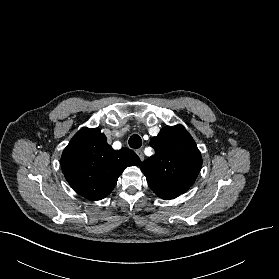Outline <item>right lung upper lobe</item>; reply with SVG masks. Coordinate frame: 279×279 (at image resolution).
Masks as SVG:
<instances>
[{
    "label": "right lung upper lobe",
    "instance_id": "obj_1",
    "mask_svg": "<svg viewBox=\"0 0 279 279\" xmlns=\"http://www.w3.org/2000/svg\"><path fill=\"white\" fill-rule=\"evenodd\" d=\"M140 163L134 151L128 148L115 151L98 128L86 127L74 135L61 158L70 186L92 201L108 196L124 169Z\"/></svg>",
    "mask_w": 279,
    "mask_h": 279
}]
</instances>
